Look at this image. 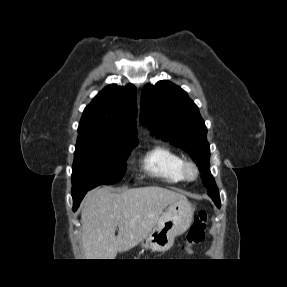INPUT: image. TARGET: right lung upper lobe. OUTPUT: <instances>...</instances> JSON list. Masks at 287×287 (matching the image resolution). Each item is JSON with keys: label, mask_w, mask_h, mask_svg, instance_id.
I'll use <instances>...</instances> for the list:
<instances>
[{"label": "right lung upper lobe", "mask_w": 287, "mask_h": 287, "mask_svg": "<svg viewBox=\"0 0 287 287\" xmlns=\"http://www.w3.org/2000/svg\"><path fill=\"white\" fill-rule=\"evenodd\" d=\"M135 117V86L112 84L99 92L85 108L78 132L98 139L137 142Z\"/></svg>", "instance_id": "obj_1"}]
</instances>
